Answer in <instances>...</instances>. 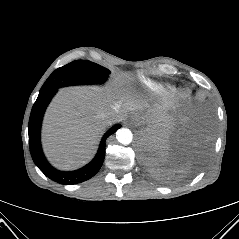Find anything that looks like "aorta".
Instances as JSON below:
<instances>
[{"instance_id":"1","label":"aorta","mask_w":239,"mask_h":239,"mask_svg":"<svg viewBox=\"0 0 239 239\" xmlns=\"http://www.w3.org/2000/svg\"><path fill=\"white\" fill-rule=\"evenodd\" d=\"M116 138L119 143L129 145L132 142L133 134L129 129L121 128L117 131Z\"/></svg>"}]
</instances>
